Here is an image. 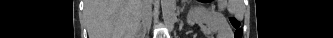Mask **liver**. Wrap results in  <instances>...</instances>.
Returning <instances> with one entry per match:
<instances>
[{"label":"liver","instance_id":"obj_1","mask_svg":"<svg viewBox=\"0 0 333 38\" xmlns=\"http://www.w3.org/2000/svg\"><path fill=\"white\" fill-rule=\"evenodd\" d=\"M143 0H86L89 38H135Z\"/></svg>","mask_w":333,"mask_h":38}]
</instances>
